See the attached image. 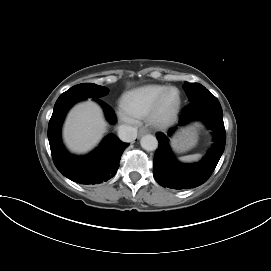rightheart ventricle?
Here are the masks:
<instances>
[{"mask_svg":"<svg viewBox=\"0 0 271 271\" xmlns=\"http://www.w3.org/2000/svg\"><path fill=\"white\" fill-rule=\"evenodd\" d=\"M166 88L164 85L149 84L129 90L122 96V108L133 118L145 117Z\"/></svg>","mask_w":271,"mask_h":271,"instance_id":"1","label":"right heart ventricle"}]
</instances>
